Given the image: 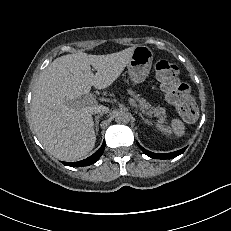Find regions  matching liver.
<instances>
[{
	"instance_id": "6515ba94",
	"label": "liver",
	"mask_w": 231,
	"mask_h": 231,
	"mask_svg": "<svg viewBox=\"0 0 231 231\" xmlns=\"http://www.w3.org/2000/svg\"><path fill=\"white\" fill-rule=\"evenodd\" d=\"M134 49L107 55L67 54L42 71L32 96L31 125L49 154L74 161L91 152L96 142L92 114L100 105L76 107L73 101L88 94L92 86L109 87L128 65Z\"/></svg>"
}]
</instances>
